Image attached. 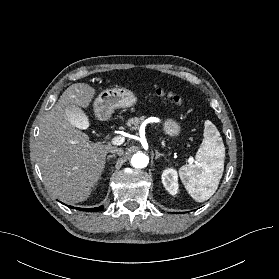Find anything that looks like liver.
<instances>
[{"mask_svg": "<svg viewBox=\"0 0 279 279\" xmlns=\"http://www.w3.org/2000/svg\"><path fill=\"white\" fill-rule=\"evenodd\" d=\"M95 93L86 83L72 84L40 125L36 141L38 165L45 186L62 201L78 203L90 196L105 168L106 155L113 148L90 143L88 135L67 116V106L87 108ZM84 117L87 122L85 114Z\"/></svg>", "mask_w": 279, "mask_h": 279, "instance_id": "liver-1", "label": "liver"}]
</instances>
